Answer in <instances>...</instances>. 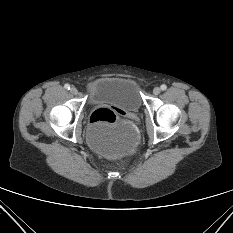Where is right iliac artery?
I'll list each match as a JSON object with an SVG mask.
<instances>
[{
  "instance_id": "1",
  "label": "right iliac artery",
  "mask_w": 233,
  "mask_h": 233,
  "mask_svg": "<svg viewBox=\"0 0 233 233\" xmlns=\"http://www.w3.org/2000/svg\"><path fill=\"white\" fill-rule=\"evenodd\" d=\"M64 88H65L66 90H69V89H70V85H69V84H65V85H64Z\"/></svg>"
}]
</instances>
